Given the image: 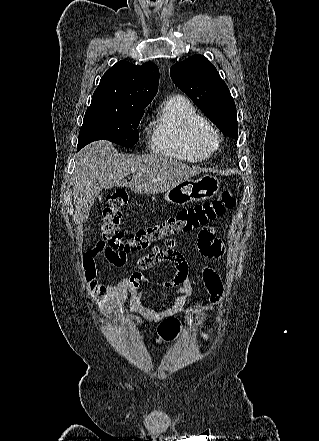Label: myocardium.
Here are the masks:
<instances>
[{
    "label": "myocardium",
    "mask_w": 319,
    "mask_h": 441,
    "mask_svg": "<svg viewBox=\"0 0 319 441\" xmlns=\"http://www.w3.org/2000/svg\"><path fill=\"white\" fill-rule=\"evenodd\" d=\"M207 139L214 147H217L220 140L219 133L211 128L208 132Z\"/></svg>",
    "instance_id": "obj_1"
}]
</instances>
